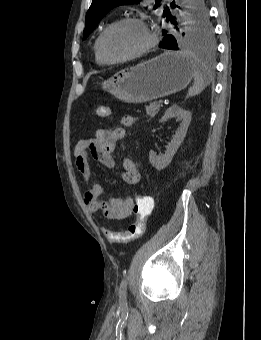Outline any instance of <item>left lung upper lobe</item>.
<instances>
[{
  "label": "left lung upper lobe",
  "mask_w": 261,
  "mask_h": 340,
  "mask_svg": "<svg viewBox=\"0 0 261 340\" xmlns=\"http://www.w3.org/2000/svg\"><path fill=\"white\" fill-rule=\"evenodd\" d=\"M140 0H93L86 14V27L83 32V40L95 29L100 20L112 8L124 5L138 3ZM158 6L155 5V8ZM183 24L179 31L163 35H172L176 38L178 49L194 48L203 51H212L214 49L213 28L209 21L208 11L203 0H186L183 8Z\"/></svg>",
  "instance_id": "left-lung-upper-lobe-1"
}]
</instances>
